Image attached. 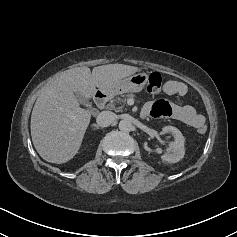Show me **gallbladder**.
Here are the masks:
<instances>
[{
    "label": "gallbladder",
    "instance_id": "gallbladder-1",
    "mask_svg": "<svg viewBox=\"0 0 237 237\" xmlns=\"http://www.w3.org/2000/svg\"><path fill=\"white\" fill-rule=\"evenodd\" d=\"M75 96L81 104H86L88 102V100L78 92L75 93Z\"/></svg>",
    "mask_w": 237,
    "mask_h": 237
}]
</instances>
